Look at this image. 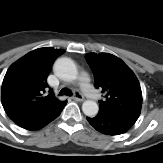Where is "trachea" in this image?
<instances>
[{
  "mask_svg": "<svg viewBox=\"0 0 163 163\" xmlns=\"http://www.w3.org/2000/svg\"><path fill=\"white\" fill-rule=\"evenodd\" d=\"M66 95V96H71L72 92L66 88L61 89L59 92V96Z\"/></svg>",
  "mask_w": 163,
  "mask_h": 163,
  "instance_id": "3493384b",
  "label": "trachea"
}]
</instances>
